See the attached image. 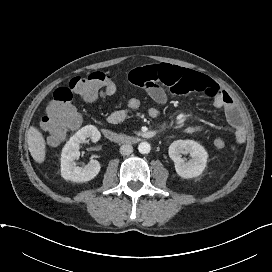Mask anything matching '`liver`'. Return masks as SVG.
<instances>
[{
  "label": "liver",
  "mask_w": 272,
  "mask_h": 272,
  "mask_svg": "<svg viewBox=\"0 0 272 272\" xmlns=\"http://www.w3.org/2000/svg\"><path fill=\"white\" fill-rule=\"evenodd\" d=\"M28 149L37 163H43L46 158V143L42 133L31 126L27 133Z\"/></svg>",
  "instance_id": "6515ba94"
}]
</instances>
